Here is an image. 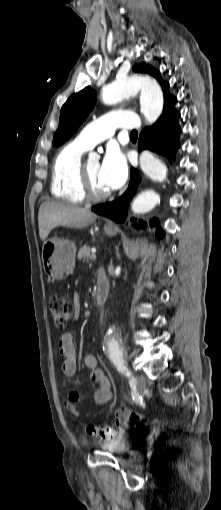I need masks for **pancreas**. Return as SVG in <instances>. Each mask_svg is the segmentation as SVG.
I'll use <instances>...</instances> for the list:
<instances>
[{
    "mask_svg": "<svg viewBox=\"0 0 221 510\" xmlns=\"http://www.w3.org/2000/svg\"><path fill=\"white\" fill-rule=\"evenodd\" d=\"M90 253H91L90 246L84 245L83 247L80 248L78 252V259L83 261L88 260V258L90 257Z\"/></svg>",
    "mask_w": 221,
    "mask_h": 510,
    "instance_id": "1",
    "label": "pancreas"
}]
</instances>
